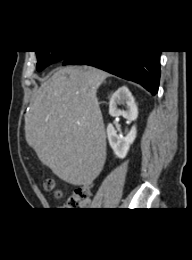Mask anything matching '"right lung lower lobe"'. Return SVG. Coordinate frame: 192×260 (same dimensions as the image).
Listing matches in <instances>:
<instances>
[{"mask_svg":"<svg viewBox=\"0 0 192 260\" xmlns=\"http://www.w3.org/2000/svg\"><path fill=\"white\" fill-rule=\"evenodd\" d=\"M161 51L95 50L70 53L62 65H90L142 85L155 95L159 87Z\"/></svg>","mask_w":192,"mask_h":260,"instance_id":"right-lung-lower-lobe-1","label":"right lung lower lobe"}]
</instances>
